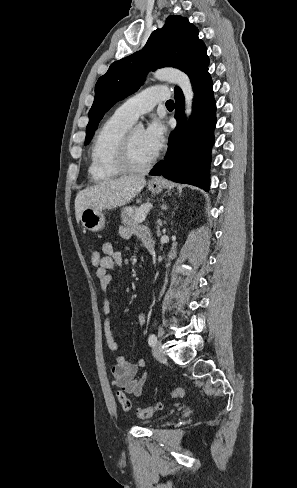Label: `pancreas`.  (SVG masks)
Wrapping results in <instances>:
<instances>
[{"label": "pancreas", "instance_id": "obj_1", "mask_svg": "<svg viewBox=\"0 0 297 488\" xmlns=\"http://www.w3.org/2000/svg\"><path fill=\"white\" fill-rule=\"evenodd\" d=\"M140 210L139 208H132L131 206H126L121 210V220L122 223L128 226H132L134 224L139 223L140 219Z\"/></svg>", "mask_w": 297, "mask_h": 488}]
</instances>
